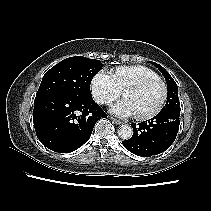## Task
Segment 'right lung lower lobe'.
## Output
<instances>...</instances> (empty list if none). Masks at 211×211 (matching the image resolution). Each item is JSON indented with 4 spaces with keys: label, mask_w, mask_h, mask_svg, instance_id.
Segmentation results:
<instances>
[{
    "label": "right lung lower lobe",
    "mask_w": 211,
    "mask_h": 211,
    "mask_svg": "<svg viewBox=\"0 0 211 211\" xmlns=\"http://www.w3.org/2000/svg\"><path fill=\"white\" fill-rule=\"evenodd\" d=\"M107 117L92 98L47 95L35 98L33 121L40 142L69 153L87 142L96 122Z\"/></svg>",
    "instance_id": "right-lung-lower-lobe-1"
}]
</instances>
